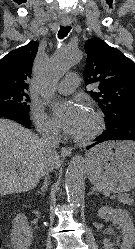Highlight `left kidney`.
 <instances>
[{
	"label": "left kidney",
	"instance_id": "5707ae66",
	"mask_svg": "<svg viewBox=\"0 0 135 249\" xmlns=\"http://www.w3.org/2000/svg\"><path fill=\"white\" fill-rule=\"evenodd\" d=\"M97 216L102 219L112 218L113 222L122 230L123 241L120 249H132V246L135 243V228L133 220L128 212L122 209H113L108 206H103L98 210ZM103 244L104 249H115L108 239H104Z\"/></svg>",
	"mask_w": 135,
	"mask_h": 249
}]
</instances>
